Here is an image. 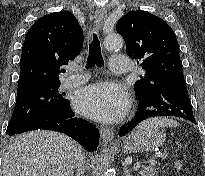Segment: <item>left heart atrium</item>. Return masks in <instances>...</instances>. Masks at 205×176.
Returning <instances> with one entry per match:
<instances>
[{
    "mask_svg": "<svg viewBox=\"0 0 205 176\" xmlns=\"http://www.w3.org/2000/svg\"><path fill=\"white\" fill-rule=\"evenodd\" d=\"M129 104L127 92L121 86L109 82L83 88L74 101L80 113L104 122H113L122 117Z\"/></svg>",
    "mask_w": 205,
    "mask_h": 176,
    "instance_id": "39dd6f15",
    "label": "left heart atrium"
}]
</instances>
